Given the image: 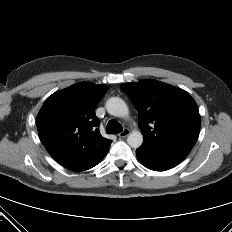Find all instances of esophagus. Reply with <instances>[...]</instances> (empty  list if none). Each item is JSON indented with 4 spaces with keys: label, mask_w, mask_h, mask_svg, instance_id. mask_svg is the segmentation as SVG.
<instances>
[{
    "label": "esophagus",
    "mask_w": 232,
    "mask_h": 232,
    "mask_svg": "<svg viewBox=\"0 0 232 232\" xmlns=\"http://www.w3.org/2000/svg\"><path fill=\"white\" fill-rule=\"evenodd\" d=\"M130 130L128 128H125L121 133L118 134L119 137L125 138L129 135Z\"/></svg>",
    "instance_id": "esophagus-1"
}]
</instances>
